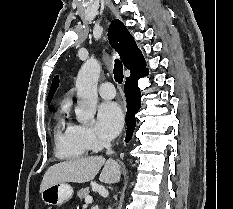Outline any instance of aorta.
<instances>
[{"label":"aorta","mask_w":233,"mask_h":209,"mask_svg":"<svg viewBox=\"0 0 233 209\" xmlns=\"http://www.w3.org/2000/svg\"><path fill=\"white\" fill-rule=\"evenodd\" d=\"M101 65L94 59L87 60L79 70L76 89L79 102L75 108L79 123L88 124L95 116L98 101L97 84Z\"/></svg>","instance_id":"obj_1"}]
</instances>
